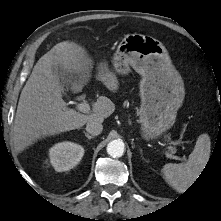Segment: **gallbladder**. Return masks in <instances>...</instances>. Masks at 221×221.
Returning <instances> with one entry per match:
<instances>
[{"instance_id": "gallbladder-1", "label": "gallbladder", "mask_w": 221, "mask_h": 221, "mask_svg": "<svg viewBox=\"0 0 221 221\" xmlns=\"http://www.w3.org/2000/svg\"><path fill=\"white\" fill-rule=\"evenodd\" d=\"M53 71H54V73L57 75V73H58V67H57V66H53ZM61 90H62V92H64L63 87L61 88Z\"/></svg>"}]
</instances>
